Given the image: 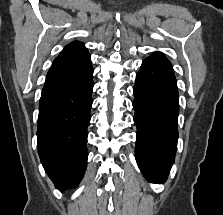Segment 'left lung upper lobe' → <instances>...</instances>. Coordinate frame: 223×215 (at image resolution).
I'll list each match as a JSON object with an SVG mask.
<instances>
[{
  "label": "left lung upper lobe",
  "mask_w": 223,
  "mask_h": 215,
  "mask_svg": "<svg viewBox=\"0 0 223 215\" xmlns=\"http://www.w3.org/2000/svg\"><path fill=\"white\" fill-rule=\"evenodd\" d=\"M146 59L161 60V61L169 62V60L166 59V58L164 57V55L161 54V53H154L153 55L147 57Z\"/></svg>",
  "instance_id": "left-lung-upper-lobe-1"
}]
</instances>
